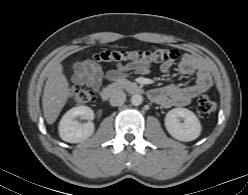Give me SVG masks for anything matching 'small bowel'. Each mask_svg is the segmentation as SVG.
I'll use <instances>...</instances> for the list:
<instances>
[{
	"label": "small bowel",
	"instance_id": "small-bowel-1",
	"mask_svg": "<svg viewBox=\"0 0 248 195\" xmlns=\"http://www.w3.org/2000/svg\"><path fill=\"white\" fill-rule=\"evenodd\" d=\"M172 66L171 61L162 63L161 70L168 72ZM150 65L143 62H128L119 64L107 71L105 77L101 67L91 60L79 63L75 67L74 82L78 85H88L99 89L104 78L109 81L116 80L128 73L146 74ZM179 71L185 76H196V81L190 86L167 85L150 92L153 101L164 108L183 107L190 104L196 97L207 92L212 86V78L207 65L192 54H185L179 62Z\"/></svg>",
	"mask_w": 248,
	"mask_h": 195
}]
</instances>
